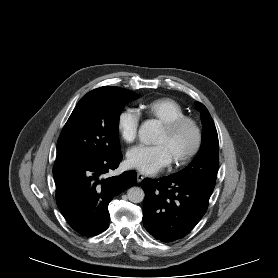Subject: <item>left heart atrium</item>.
Returning <instances> with one entry per match:
<instances>
[{"instance_id": "1", "label": "left heart atrium", "mask_w": 278, "mask_h": 278, "mask_svg": "<svg viewBox=\"0 0 278 278\" xmlns=\"http://www.w3.org/2000/svg\"><path fill=\"white\" fill-rule=\"evenodd\" d=\"M128 165L147 175H154L165 167L171 160L162 145L137 146L127 155Z\"/></svg>"}]
</instances>
